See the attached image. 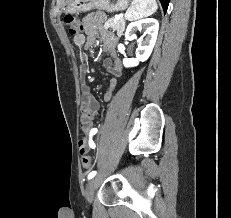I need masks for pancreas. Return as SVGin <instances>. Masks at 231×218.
I'll list each match as a JSON object with an SVG mask.
<instances>
[{"instance_id":"1","label":"pancreas","mask_w":231,"mask_h":218,"mask_svg":"<svg viewBox=\"0 0 231 218\" xmlns=\"http://www.w3.org/2000/svg\"><path fill=\"white\" fill-rule=\"evenodd\" d=\"M111 28L117 32V35L120 37L125 29V20L124 18L116 19L114 17L110 18L104 24V29Z\"/></svg>"}]
</instances>
